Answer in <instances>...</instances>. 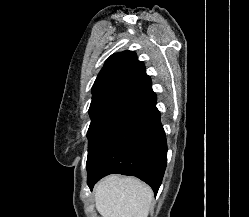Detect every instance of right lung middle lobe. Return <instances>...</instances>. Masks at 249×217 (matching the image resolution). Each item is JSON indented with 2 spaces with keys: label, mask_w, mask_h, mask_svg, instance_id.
Here are the masks:
<instances>
[{
  "label": "right lung middle lobe",
  "mask_w": 249,
  "mask_h": 217,
  "mask_svg": "<svg viewBox=\"0 0 249 217\" xmlns=\"http://www.w3.org/2000/svg\"><path fill=\"white\" fill-rule=\"evenodd\" d=\"M121 93H108L102 96L92 99L89 114L91 117V123L87 132L88 140L92 138V135L100 122L101 118L107 111V109L121 96Z\"/></svg>",
  "instance_id": "dd1d6c3e"
}]
</instances>
